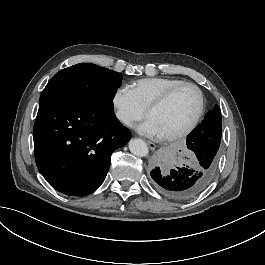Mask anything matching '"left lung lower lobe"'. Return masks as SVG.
<instances>
[{"label": "left lung lower lobe", "instance_id": "0a47b994", "mask_svg": "<svg viewBox=\"0 0 265 265\" xmlns=\"http://www.w3.org/2000/svg\"><path fill=\"white\" fill-rule=\"evenodd\" d=\"M220 140L192 131L186 144L197 157L192 167L166 169L155 167L151 172L152 186L163 196L179 201L194 198L204 191L215 177Z\"/></svg>", "mask_w": 265, "mask_h": 265}]
</instances>
